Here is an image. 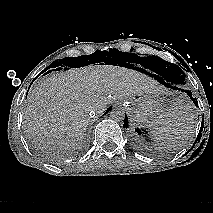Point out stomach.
Returning a JSON list of instances; mask_svg holds the SVG:
<instances>
[{"mask_svg":"<svg viewBox=\"0 0 213 213\" xmlns=\"http://www.w3.org/2000/svg\"><path fill=\"white\" fill-rule=\"evenodd\" d=\"M128 108L134 124L153 129L158 125L157 118L167 111L159 93H147L128 100Z\"/></svg>","mask_w":213,"mask_h":213,"instance_id":"1","label":"stomach"}]
</instances>
